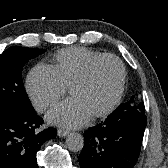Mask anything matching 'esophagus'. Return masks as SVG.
I'll list each match as a JSON object with an SVG mask.
<instances>
[{
	"label": "esophagus",
	"instance_id": "34e87169",
	"mask_svg": "<svg viewBox=\"0 0 168 168\" xmlns=\"http://www.w3.org/2000/svg\"><path fill=\"white\" fill-rule=\"evenodd\" d=\"M57 134L59 137H65L69 134V131L65 129H58Z\"/></svg>",
	"mask_w": 168,
	"mask_h": 168
}]
</instances>
